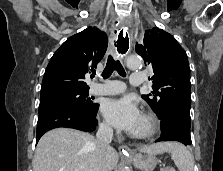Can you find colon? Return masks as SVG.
<instances>
[{
	"mask_svg": "<svg viewBox=\"0 0 223 171\" xmlns=\"http://www.w3.org/2000/svg\"><path fill=\"white\" fill-rule=\"evenodd\" d=\"M162 171H175L172 167H165Z\"/></svg>",
	"mask_w": 223,
	"mask_h": 171,
	"instance_id": "5ec220e1",
	"label": "colon"
}]
</instances>
